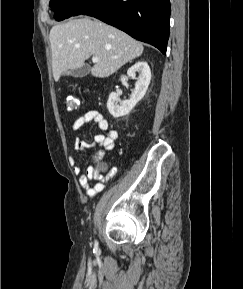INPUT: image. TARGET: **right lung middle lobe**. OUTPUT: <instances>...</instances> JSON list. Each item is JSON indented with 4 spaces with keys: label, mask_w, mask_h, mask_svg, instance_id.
Masks as SVG:
<instances>
[{
    "label": "right lung middle lobe",
    "mask_w": 243,
    "mask_h": 289,
    "mask_svg": "<svg viewBox=\"0 0 243 289\" xmlns=\"http://www.w3.org/2000/svg\"><path fill=\"white\" fill-rule=\"evenodd\" d=\"M85 1L87 0H51L50 7L55 12L54 18L61 21L71 17Z\"/></svg>",
    "instance_id": "1"
}]
</instances>
